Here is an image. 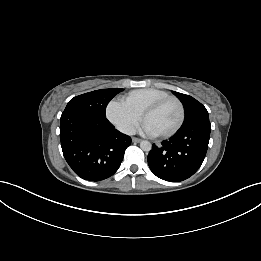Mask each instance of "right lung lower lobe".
Listing matches in <instances>:
<instances>
[{
    "label": "right lung lower lobe",
    "mask_w": 261,
    "mask_h": 261,
    "mask_svg": "<svg viewBox=\"0 0 261 261\" xmlns=\"http://www.w3.org/2000/svg\"><path fill=\"white\" fill-rule=\"evenodd\" d=\"M63 155L81 178L101 181L120 167L131 138L118 130L106 117L78 111L63 112L60 119Z\"/></svg>",
    "instance_id": "right-lung-lower-lobe-1"
}]
</instances>
